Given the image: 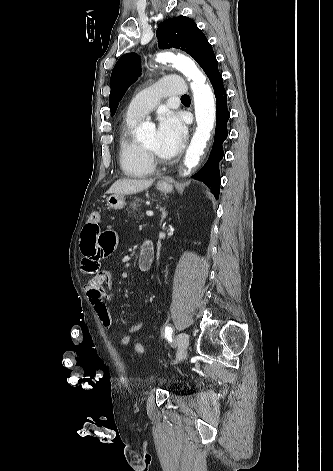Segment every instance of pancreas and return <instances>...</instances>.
<instances>
[{
    "instance_id": "cf45deb5",
    "label": "pancreas",
    "mask_w": 333,
    "mask_h": 471,
    "mask_svg": "<svg viewBox=\"0 0 333 471\" xmlns=\"http://www.w3.org/2000/svg\"><path fill=\"white\" fill-rule=\"evenodd\" d=\"M143 200L136 199L133 203L130 204L129 210L130 212H134L138 207L142 206Z\"/></svg>"
}]
</instances>
